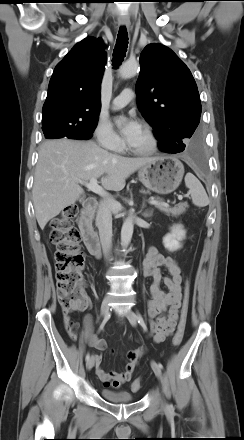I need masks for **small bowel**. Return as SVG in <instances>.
<instances>
[{
  "instance_id": "c3829d8e",
  "label": "small bowel",
  "mask_w": 244,
  "mask_h": 440,
  "mask_svg": "<svg viewBox=\"0 0 244 440\" xmlns=\"http://www.w3.org/2000/svg\"><path fill=\"white\" fill-rule=\"evenodd\" d=\"M165 268L170 277H164L161 269ZM144 273L153 279L150 286L151 300L148 302L147 313L150 323V337L156 343L164 341L170 336L176 327L182 299V277L181 269L172 257L164 256L154 246L148 248L144 258ZM161 283L165 285L167 291L161 288ZM64 326L72 339L77 338L76 324L69 317H64ZM84 335L90 346L99 351L107 348L104 339L97 338L93 334V321L90 315H86L83 320ZM142 349H134L126 352L128 362L123 372H106L102 366V355L93 354L95 371L98 378L105 384L108 381L116 380L120 384L129 382L137 367L139 358L142 356Z\"/></svg>"
}]
</instances>
